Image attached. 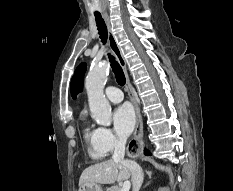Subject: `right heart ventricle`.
<instances>
[{"instance_id": "obj_1", "label": "right heart ventricle", "mask_w": 233, "mask_h": 191, "mask_svg": "<svg viewBox=\"0 0 233 191\" xmlns=\"http://www.w3.org/2000/svg\"><path fill=\"white\" fill-rule=\"evenodd\" d=\"M83 136L88 147V153L94 160H101L106 155L98 144V129L85 126Z\"/></svg>"}]
</instances>
